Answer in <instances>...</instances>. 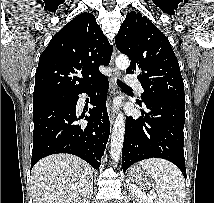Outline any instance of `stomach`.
<instances>
[{
  "label": "stomach",
  "instance_id": "stomach-1",
  "mask_svg": "<svg viewBox=\"0 0 214 203\" xmlns=\"http://www.w3.org/2000/svg\"><path fill=\"white\" fill-rule=\"evenodd\" d=\"M128 183L132 189L150 190L155 182L150 174L140 166H133L128 172Z\"/></svg>",
  "mask_w": 214,
  "mask_h": 203
}]
</instances>
